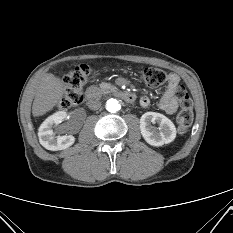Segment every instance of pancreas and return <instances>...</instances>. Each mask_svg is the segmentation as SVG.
Instances as JSON below:
<instances>
[{"instance_id":"pancreas-1","label":"pancreas","mask_w":233,"mask_h":233,"mask_svg":"<svg viewBox=\"0 0 233 233\" xmlns=\"http://www.w3.org/2000/svg\"><path fill=\"white\" fill-rule=\"evenodd\" d=\"M115 87L107 82H102L99 84V87L92 86L88 89V92H100L102 94L109 93L110 91L114 90Z\"/></svg>"}]
</instances>
